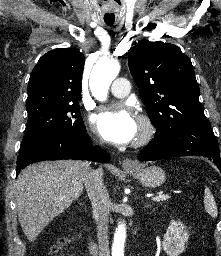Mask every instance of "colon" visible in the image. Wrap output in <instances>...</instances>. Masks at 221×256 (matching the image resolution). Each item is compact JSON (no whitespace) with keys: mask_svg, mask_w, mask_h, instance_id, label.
I'll use <instances>...</instances> for the list:
<instances>
[{"mask_svg":"<svg viewBox=\"0 0 221 256\" xmlns=\"http://www.w3.org/2000/svg\"><path fill=\"white\" fill-rule=\"evenodd\" d=\"M60 250V246H56L53 248V253H56Z\"/></svg>","mask_w":221,"mask_h":256,"instance_id":"obj_1","label":"colon"}]
</instances>
